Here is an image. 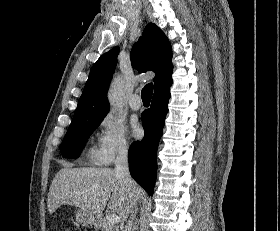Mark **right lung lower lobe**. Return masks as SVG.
<instances>
[{"label": "right lung lower lobe", "instance_id": "98d812e1", "mask_svg": "<svg viewBox=\"0 0 280 231\" xmlns=\"http://www.w3.org/2000/svg\"><path fill=\"white\" fill-rule=\"evenodd\" d=\"M169 99V90L153 96L150 109L142 114L144 138L133 142L129 149L130 173L149 195L153 194L156 180V153L168 112Z\"/></svg>", "mask_w": 280, "mask_h": 231}]
</instances>
